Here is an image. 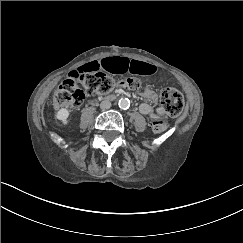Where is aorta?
I'll return each instance as SVG.
<instances>
[{"label":"aorta","instance_id":"1","mask_svg":"<svg viewBox=\"0 0 243 243\" xmlns=\"http://www.w3.org/2000/svg\"><path fill=\"white\" fill-rule=\"evenodd\" d=\"M129 106V100L126 98L120 99L119 101V107L122 109H127Z\"/></svg>","mask_w":243,"mask_h":243}]
</instances>
